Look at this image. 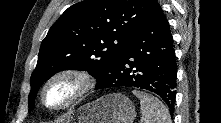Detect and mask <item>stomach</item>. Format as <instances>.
<instances>
[{
	"mask_svg": "<svg viewBox=\"0 0 221 123\" xmlns=\"http://www.w3.org/2000/svg\"><path fill=\"white\" fill-rule=\"evenodd\" d=\"M135 116L133 102L123 94L112 93L72 111L66 123H133Z\"/></svg>",
	"mask_w": 221,
	"mask_h": 123,
	"instance_id": "1",
	"label": "stomach"
}]
</instances>
